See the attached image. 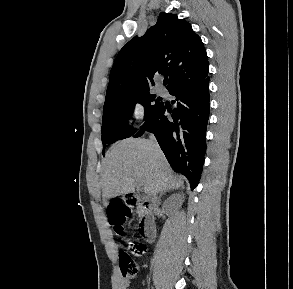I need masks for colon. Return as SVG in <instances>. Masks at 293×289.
Masks as SVG:
<instances>
[{"label": "colon", "instance_id": "1", "mask_svg": "<svg viewBox=\"0 0 293 289\" xmlns=\"http://www.w3.org/2000/svg\"><path fill=\"white\" fill-rule=\"evenodd\" d=\"M129 214L128 209L119 202L112 203L108 212V218L116 231L122 232V224L125 217ZM125 249L119 254V261L124 276L133 277L138 272V265L132 260L131 256L140 257L144 255L146 247L137 241H124Z\"/></svg>", "mask_w": 293, "mask_h": 289}]
</instances>
